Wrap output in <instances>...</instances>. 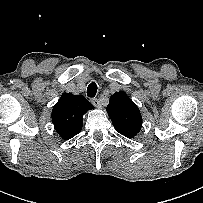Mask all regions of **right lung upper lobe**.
Masks as SVG:
<instances>
[{
    "mask_svg": "<svg viewBox=\"0 0 203 203\" xmlns=\"http://www.w3.org/2000/svg\"><path fill=\"white\" fill-rule=\"evenodd\" d=\"M93 108L84 96L63 93L52 110L55 130L62 139H71L81 131L83 115Z\"/></svg>",
    "mask_w": 203,
    "mask_h": 203,
    "instance_id": "1",
    "label": "right lung upper lobe"
}]
</instances>
